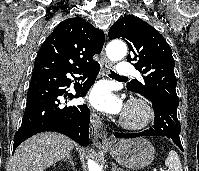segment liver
<instances>
[{"mask_svg": "<svg viewBox=\"0 0 199 171\" xmlns=\"http://www.w3.org/2000/svg\"><path fill=\"white\" fill-rule=\"evenodd\" d=\"M69 137L56 132L36 134L21 143L12 157V171H44L75 147Z\"/></svg>", "mask_w": 199, "mask_h": 171, "instance_id": "1", "label": "liver"}]
</instances>
